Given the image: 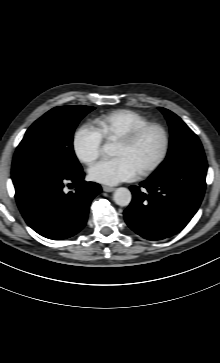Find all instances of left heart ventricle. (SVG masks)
I'll use <instances>...</instances> for the list:
<instances>
[{
    "instance_id": "left-heart-ventricle-1",
    "label": "left heart ventricle",
    "mask_w": 220,
    "mask_h": 363,
    "mask_svg": "<svg viewBox=\"0 0 220 363\" xmlns=\"http://www.w3.org/2000/svg\"><path fill=\"white\" fill-rule=\"evenodd\" d=\"M161 144L160 132L150 130L134 145L115 144L114 155L125 157L137 171H140L157 158Z\"/></svg>"
}]
</instances>
